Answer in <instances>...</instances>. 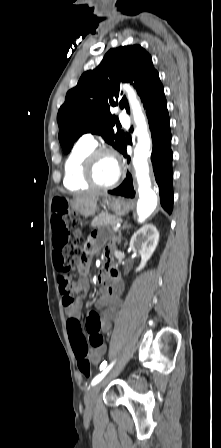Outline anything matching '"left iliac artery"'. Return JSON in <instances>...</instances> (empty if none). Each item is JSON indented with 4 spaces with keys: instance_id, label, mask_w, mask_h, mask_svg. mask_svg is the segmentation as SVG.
I'll return each instance as SVG.
<instances>
[{
    "instance_id": "44dca946",
    "label": "left iliac artery",
    "mask_w": 221,
    "mask_h": 448,
    "mask_svg": "<svg viewBox=\"0 0 221 448\" xmlns=\"http://www.w3.org/2000/svg\"><path fill=\"white\" fill-rule=\"evenodd\" d=\"M113 364H114V362L112 363V364H110L102 373H100L99 375H97L93 380H92V382H91V385L93 386V385H95V384H97V383H99L104 377H105V375L108 373V371L112 368V366H113ZM106 363L105 362H103L101 365H100V368L101 369H104L105 367H106Z\"/></svg>"
}]
</instances>
